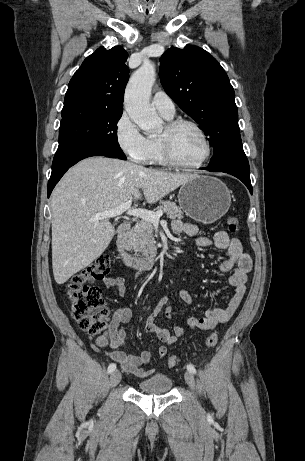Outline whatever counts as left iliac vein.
<instances>
[{"label": "left iliac vein", "instance_id": "left-iliac-vein-1", "mask_svg": "<svg viewBox=\"0 0 305 461\" xmlns=\"http://www.w3.org/2000/svg\"><path fill=\"white\" fill-rule=\"evenodd\" d=\"M185 381L189 385V387L194 390L195 389V379L193 374L190 371L185 372Z\"/></svg>", "mask_w": 305, "mask_h": 461}]
</instances>
